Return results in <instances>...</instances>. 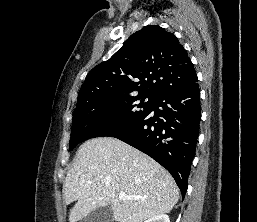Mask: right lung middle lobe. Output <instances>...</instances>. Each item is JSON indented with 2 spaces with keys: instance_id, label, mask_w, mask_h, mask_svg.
<instances>
[{
  "instance_id": "1",
  "label": "right lung middle lobe",
  "mask_w": 257,
  "mask_h": 222,
  "mask_svg": "<svg viewBox=\"0 0 257 222\" xmlns=\"http://www.w3.org/2000/svg\"><path fill=\"white\" fill-rule=\"evenodd\" d=\"M148 98L147 102H144ZM147 95L100 96L78 103L73 115L70 150L95 137L113 136L137 123L152 109Z\"/></svg>"
}]
</instances>
